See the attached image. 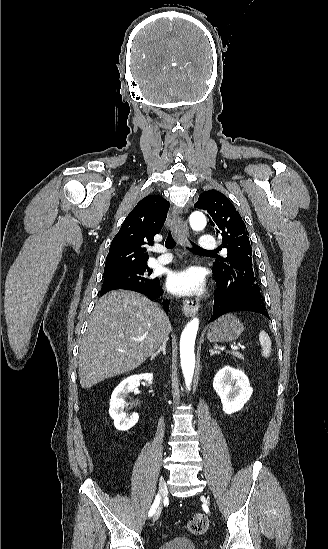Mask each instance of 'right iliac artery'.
<instances>
[{"instance_id": "right-iliac-artery-1", "label": "right iliac artery", "mask_w": 328, "mask_h": 549, "mask_svg": "<svg viewBox=\"0 0 328 549\" xmlns=\"http://www.w3.org/2000/svg\"><path fill=\"white\" fill-rule=\"evenodd\" d=\"M159 503H160V496L158 494L156 496L155 500H154L153 505L151 506V508L149 510V514H148L149 517L153 516V514L156 512V509L159 506Z\"/></svg>"}]
</instances>
